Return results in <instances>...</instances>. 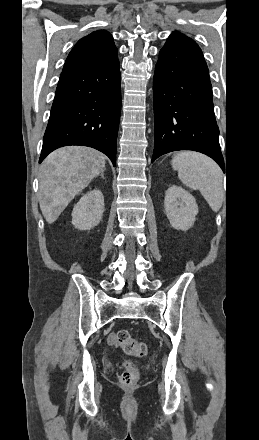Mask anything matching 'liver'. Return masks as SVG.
Here are the masks:
<instances>
[{"instance_id":"liver-1","label":"liver","mask_w":259,"mask_h":440,"mask_svg":"<svg viewBox=\"0 0 259 440\" xmlns=\"http://www.w3.org/2000/svg\"><path fill=\"white\" fill-rule=\"evenodd\" d=\"M104 169L105 156L89 147H63L49 154L41 166L39 182V204L47 223H54Z\"/></svg>"}]
</instances>
